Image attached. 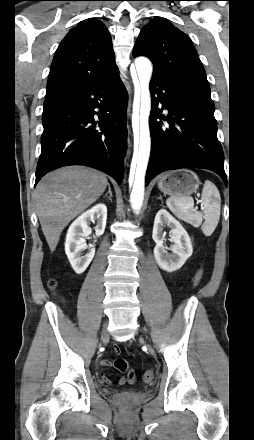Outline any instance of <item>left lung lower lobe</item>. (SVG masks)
<instances>
[{
  "label": "left lung lower lobe",
  "mask_w": 254,
  "mask_h": 440,
  "mask_svg": "<svg viewBox=\"0 0 254 440\" xmlns=\"http://www.w3.org/2000/svg\"><path fill=\"white\" fill-rule=\"evenodd\" d=\"M150 91L152 144L146 184L163 171L180 168L211 170L227 184L213 101L170 85L158 73H153ZM163 109L168 110V116L162 115ZM162 120L169 126L163 125Z\"/></svg>",
  "instance_id": "left-lung-lower-lobe-1"
}]
</instances>
